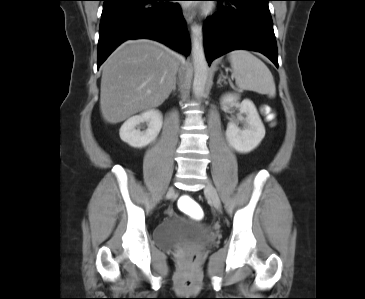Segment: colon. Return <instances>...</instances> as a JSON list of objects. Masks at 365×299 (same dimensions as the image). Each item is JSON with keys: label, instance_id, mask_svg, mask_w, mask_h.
I'll return each mask as SVG.
<instances>
[{"label": "colon", "instance_id": "colon-1", "mask_svg": "<svg viewBox=\"0 0 365 299\" xmlns=\"http://www.w3.org/2000/svg\"><path fill=\"white\" fill-rule=\"evenodd\" d=\"M179 209L193 218H201L203 215L200 205L190 196L183 195L178 200Z\"/></svg>", "mask_w": 365, "mask_h": 299}]
</instances>
